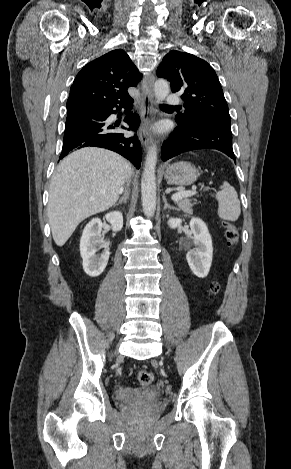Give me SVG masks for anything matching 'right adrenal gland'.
<instances>
[{"mask_svg":"<svg viewBox=\"0 0 291 469\" xmlns=\"http://www.w3.org/2000/svg\"><path fill=\"white\" fill-rule=\"evenodd\" d=\"M128 199H129V190H126L123 197L119 199V201L115 204V206L122 204V203H127Z\"/></svg>","mask_w":291,"mask_h":469,"instance_id":"right-adrenal-gland-1","label":"right adrenal gland"}]
</instances>
